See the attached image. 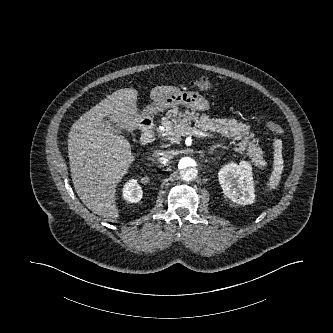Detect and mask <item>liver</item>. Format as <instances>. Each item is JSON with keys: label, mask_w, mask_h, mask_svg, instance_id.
I'll return each mask as SVG.
<instances>
[{"label": "liver", "mask_w": 333, "mask_h": 333, "mask_svg": "<svg viewBox=\"0 0 333 333\" xmlns=\"http://www.w3.org/2000/svg\"><path fill=\"white\" fill-rule=\"evenodd\" d=\"M180 91L173 86H157L150 92L156 102ZM138 91L119 89L92 107L73 123L68 152L71 178L83 204L105 218H117L116 187L135 160L129 141L118 135L105 117L120 129L136 130L145 119L137 108Z\"/></svg>", "instance_id": "1"}]
</instances>
